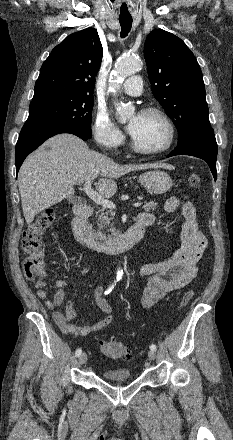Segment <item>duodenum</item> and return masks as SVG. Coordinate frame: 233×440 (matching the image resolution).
Instances as JSON below:
<instances>
[{
    "mask_svg": "<svg viewBox=\"0 0 233 440\" xmlns=\"http://www.w3.org/2000/svg\"><path fill=\"white\" fill-rule=\"evenodd\" d=\"M92 213L93 208L90 205L78 204L74 207L73 235L80 244L107 252L131 249L141 241L145 228L153 223L151 219L139 217L123 234L112 238H102L95 235L88 225L87 220Z\"/></svg>",
    "mask_w": 233,
    "mask_h": 440,
    "instance_id": "duodenum-1",
    "label": "duodenum"
}]
</instances>
